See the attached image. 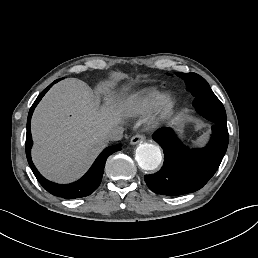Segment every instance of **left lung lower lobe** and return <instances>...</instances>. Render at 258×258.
Segmentation results:
<instances>
[{"label":"left lung lower lobe","instance_id":"0a47b994","mask_svg":"<svg viewBox=\"0 0 258 258\" xmlns=\"http://www.w3.org/2000/svg\"><path fill=\"white\" fill-rule=\"evenodd\" d=\"M196 111L213 122L212 137L200 149L187 148L171 128L158 130L153 139L163 148L160 171L145 175L147 186L155 193L177 196L201 189L217 171L229 142L226 112L213 92H200L193 101Z\"/></svg>","mask_w":258,"mask_h":258}]
</instances>
